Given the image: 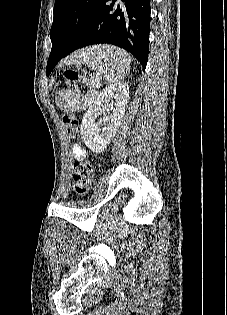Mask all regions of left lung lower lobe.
<instances>
[{"mask_svg":"<svg viewBox=\"0 0 227 315\" xmlns=\"http://www.w3.org/2000/svg\"><path fill=\"white\" fill-rule=\"evenodd\" d=\"M103 0L93 19L71 46L52 45L46 74L71 52L93 44L107 43L132 53L146 67L149 46L150 0Z\"/></svg>","mask_w":227,"mask_h":315,"instance_id":"1","label":"left lung lower lobe"}]
</instances>
